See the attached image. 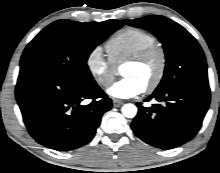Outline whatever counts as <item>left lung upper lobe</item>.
<instances>
[{"label":"left lung upper lobe","mask_w":220,"mask_h":173,"mask_svg":"<svg viewBox=\"0 0 220 173\" xmlns=\"http://www.w3.org/2000/svg\"><path fill=\"white\" fill-rule=\"evenodd\" d=\"M126 24L153 33L166 55L164 76L155 91L183 84H208L205 56L196 39L178 23L158 15L126 20Z\"/></svg>","instance_id":"obj_1"}]
</instances>
